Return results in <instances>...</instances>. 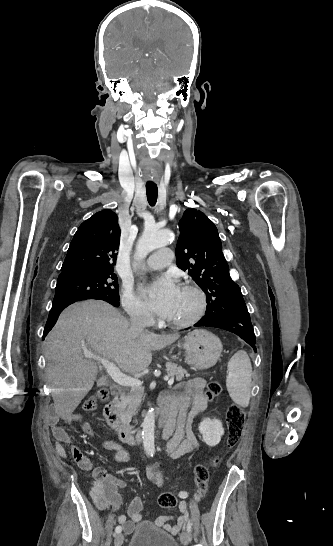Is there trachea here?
Listing matches in <instances>:
<instances>
[{
    "instance_id": "trachea-1",
    "label": "trachea",
    "mask_w": 333,
    "mask_h": 546,
    "mask_svg": "<svg viewBox=\"0 0 333 546\" xmlns=\"http://www.w3.org/2000/svg\"><path fill=\"white\" fill-rule=\"evenodd\" d=\"M147 200L151 206H154L157 201L158 188L156 184H146Z\"/></svg>"
}]
</instances>
